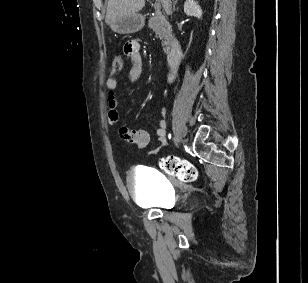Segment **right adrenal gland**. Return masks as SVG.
Returning <instances> with one entry per match:
<instances>
[{
    "instance_id": "1",
    "label": "right adrenal gland",
    "mask_w": 308,
    "mask_h": 283,
    "mask_svg": "<svg viewBox=\"0 0 308 283\" xmlns=\"http://www.w3.org/2000/svg\"><path fill=\"white\" fill-rule=\"evenodd\" d=\"M177 1H178V0H173V10H175V6H176V4H177Z\"/></svg>"
}]
</instances>
